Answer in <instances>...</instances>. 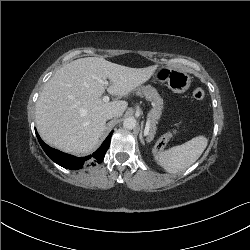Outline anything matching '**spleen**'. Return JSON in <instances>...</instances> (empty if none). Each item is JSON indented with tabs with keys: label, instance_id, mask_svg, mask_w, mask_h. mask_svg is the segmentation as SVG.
<instances>
[{
	"label": "spleen",
	"instance_id": "spleen-1",
	"mask_svg": "<svg viewBox=\"0 0 250 250\" xmlns=\"http://www.w3.org/2000/svg\"><path fill=\"white\" fill-rule=\"evenodd\" d=\"M207 144L208 139L200 135L182 145L159 151L154 155V158L168 173L175 174L194 164L204 152Z\"/></svg>",
	"mask_w": 250,
	"mask_h": 250
}]
</instances>
